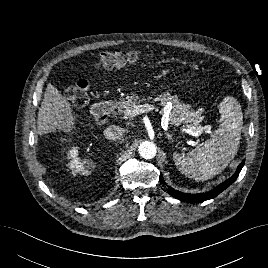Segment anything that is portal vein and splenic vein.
<instances>
[{
  "label": "portal vein and splenic vein",
  "mask_w": 268,
  "mask_h": 268,
  "mask_svg": "<svg viewBox=\"0 0 268 268\" xmlns=\"http://www.w3.org/2000/svg\"><path fill=\"white\" fill-rule=\"evenodd\" d=\"M150 111H159L157 107L151 104H144V105H132L129 108L125 109V115L129 117H134L138 114L150 112ZM169 112V110H167ZM207 127L202 126H187V132L191 135L194 133H201Z\"/></svg>",
  "instance_id": "obj_1"
}]
</instances>
